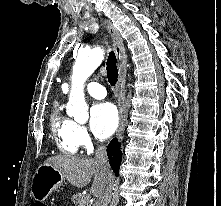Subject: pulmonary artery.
Masks as SVG:
<instances>
[{
    "mask_svg": "<svg viewBox=\"0 0 221 206\" xmlns=\"http://www.w3.org/2000/svg\"><path fill=\"white\" fill-rule=\"evenodd\" d=\"M64 89L65 91H67L68 86L65 85ZM86 90L92 97L97 98V99H103L106 96L105 88L96 82L88 83L86 86Z\"/></svg>",
    "mask_w": 221,
    "mask_h": 206,
    "instance_id": "obj_1",
    "label": "pulmonary artery"
}]
</instances>
